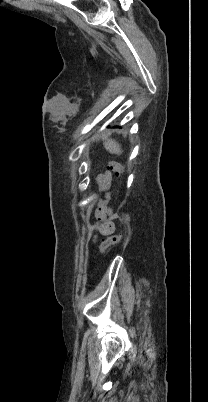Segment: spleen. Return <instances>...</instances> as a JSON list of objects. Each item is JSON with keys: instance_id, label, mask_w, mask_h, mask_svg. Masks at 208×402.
Listing matches in <instances>:
<instances>
[{"instance_id": "3e777b00", "label": "spleen", "mask_w": 208, "mask_h": 402, "mask_svg": "<svg viewBox=\"0 0 208 402\" xmlns=\"http://www.w3.org/2000/svg\"><path fill=\"white\" fill-rule=\"evenodd\" d=\"M104 146H105V150H107V152H109V154H117V156H119V154H122V150H121V146H119L118 142H116V140H108V138H106V142H104Z\"/></svg>"}]
</instances>
